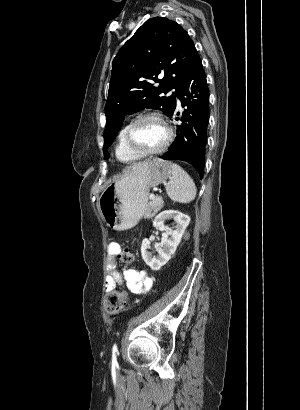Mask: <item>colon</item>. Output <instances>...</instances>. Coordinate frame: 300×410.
<instances>
[{"instance_id": "colon-1", "label": "colon", "mask_w": 300, "mask_h": 410, "mask_svg": "<svg viewBox=\"0 0 300 410\" xmlns=\"http://www.w3.org/2000/svg\"><path fill=\"white\" fill-rule=\"evenodd\" d=\"M117 259L121 263H131L134 260L133 250L129 247H123L117 253ZM127 293L124 291H112L106 294L104 298V309L107 314L115 315L120 312L126 304Z\"/></svg>"}]
</instances>
